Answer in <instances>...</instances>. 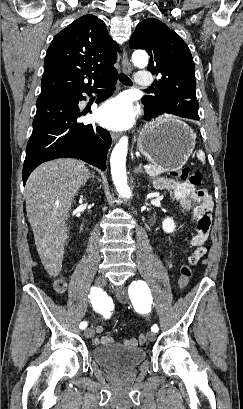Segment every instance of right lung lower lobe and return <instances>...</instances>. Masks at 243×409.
Wrapping results in <instances>:
<instances>
[{
  "label": "right lung lower lobe",
  "mask_w": 243,
  "mask_h": 409,
  "mask_svg": "<svg viewBox=\"0 0 243 409\" xmlns=\"http://www.w3.org/2000/svg\"><path fill=\"white\" fill-rule=\"evenodd\" d=\"M116 81L117 75H114L99 85L108 89L102 91L97 103L111 95ZM97 87L72 94L38 98L33 132L26 148L24 184L38 165L61 157L81 159L103 171L106 169L107 152L111 146L109 132L101 127L77 122V118L82 115L78 103L85 100L82 93L90 95Z\"/></svg>",
  "instance_id": "98d812e1"
}]
</instances>
